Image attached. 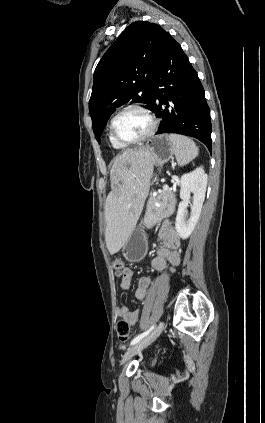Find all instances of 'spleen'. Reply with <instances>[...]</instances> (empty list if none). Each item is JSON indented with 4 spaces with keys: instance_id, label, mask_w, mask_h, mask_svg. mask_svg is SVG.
<instances>
[{
    "instance_id": "obj_1",
    "label": "spleen",
    "mask_w": 265,
    "mask_h": 423,
    "mask_svg": "<svg viewBox=\"0 0 265 423\" xmlns=\"http://www.w3.org/2000/svg\"><path fill=\"white\" fill-rule=\"evenodd\" d=\"M168 137L179 166H184L197 157L198 147L190 138L178 134H170Z\"/></svg>"
}]
</instances>
